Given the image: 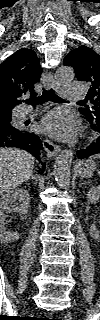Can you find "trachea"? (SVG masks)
Instances as JSON below:
<instances>
[{"label":"trachea","instance_id":"3493384b","mask_svg":"<svg viewBox=\"0 0 100 320\" xmlns=\"http://www.w3.org/2000/svg\"><path fill=\"white\" fill-rule=\"evenodd\" d=\"M53 102H65L62 98L54 93L52 90H44L42 95L38 98H31L29 100H25L26 103L31 104L32 106H36L39 104H43L46 101Z\"/></svg>","mask_w":100,"mask_h":320}]
</instances>
